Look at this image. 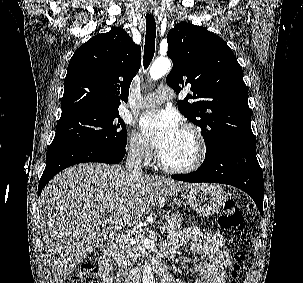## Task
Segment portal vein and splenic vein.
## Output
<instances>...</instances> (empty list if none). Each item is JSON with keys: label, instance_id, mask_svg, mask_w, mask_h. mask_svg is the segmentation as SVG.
<instances>
[{"label": "portal vein and splenic vein", "instance_id": "obj_1", "mask_svg": "<svg viewBox=\"0 0 303 283\" xmlns=\"http://www.w3.org/2000/svg\"><path fill=\"white\" fill-rule=\"evenodd\" d=\"M106 222H110V223H112V224H117V223H118V222L116 221V219L113 218V217H110V218H108V219H104L102 224H105ZM169 223H171V221H169ZM160 231H161V233H164L165 231H167V226H166V225L162 226V227L160 228Z\"/></svg>", "mask_w": 303, "mask_h": 283}]
</instances>
